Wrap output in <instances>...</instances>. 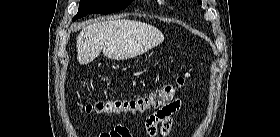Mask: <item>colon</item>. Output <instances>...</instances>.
I'll use <instances>...</instances> for the list:
<instances>
[{
    "mask_svg": "<svg viewBox=\"0 0 280 137\" xmlns=\"http://www.w3.org/2000/svg\"><path fill=\"white\" fill-rule=\"evenodd\" d=\"M191 83L192 76L187 72L179 76L175 83L163 85L146 96L134 99L98 100L85 104L82 108L87 113L104 115L141 114L171 100L177 90L187 87Z\"/></svg>",
    "mask_w": 280,
    "mask_h": 137,
    "instance_id": "colon-1",
    "label": "colon"
}]
</instances>
